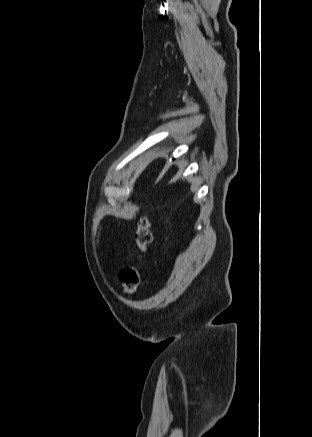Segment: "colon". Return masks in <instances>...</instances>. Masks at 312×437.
<instances>
[{
	"label": "colon",
	"mask_w": 312,
	"mask_h": 437,
	"mask_svg": "<svg viewBox=\"0 0 312 437\" xmlns=\"http://www.w3.org/2000/svg\"><path fill=\"white\" fill-rule=\"evenodd\" d=\"M152 241L150 222L143 216L135 233V244L141 254H144ZM121 290L126 294H133L140 283V270L137 264H131L121 269L119 273Z\"/></svg>",
	"instance_id": "1"
}]
</instances>
